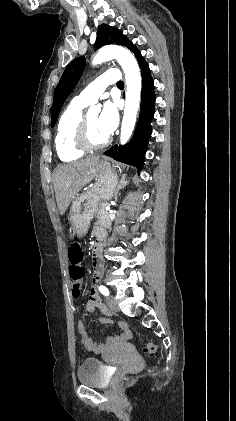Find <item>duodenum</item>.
Instances as JSON below:
<instances>
[{"label":"duodenum","mask_w":236,"mask_h":421,"mask_svg":"<svg viewBox=\"0 0 236 421\" xmlns=\"http://www.w3.org/2000/svg\"><path fill=\"white\" fill-rule=\"evenodd\" d=\"M95 236L97 238V241L95 243L94 251H93L94 252L93 253V256H94L93 257V266H94L96 274L98 276H100L101 273H102V268H103L101 251H102V248L104 247V245L106 244V239H107L105 229L103 227L98 228L95 231ZM126 334L127 333L124 332L123 336L118 338V339H121V338L125 337ZM83 336H84V343L92 349L95 348L94 344L91 341H89V339L86 337L85 332H83Z\"/></svg>","instance_id":"duodenum-1"}]
</instances>
